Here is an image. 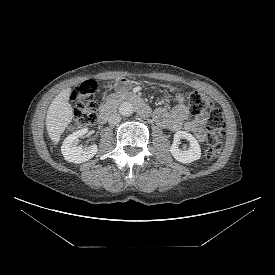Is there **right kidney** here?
Listing matches in <instances>:
<instances>
[{"mask_svg": "<svg viewBox=\"0 0 275 275\" xmlns=\"http://www.w3.org/2000/svg\"><path fill=\"white\" fill-rule=\"evenodd\" d=\"M87 131L86 128L77 130L63 141L61 152L66 161L80 164L96 155L98 151L96 144L88 148H83L82 145H79V138H82Z\"/></svg>", "mask_w": 275, "mask_h": 275, "instance_id": "obj_1", "label": "right kidney"}]
</instances>
